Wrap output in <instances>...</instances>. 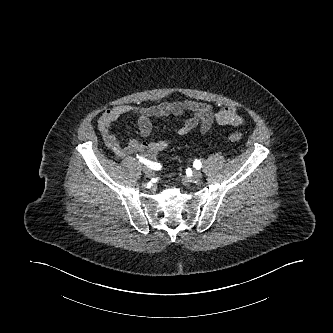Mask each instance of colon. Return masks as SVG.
Listing matches in <instances>:
<instances>
[{"label":"colon","mask_w":333,"mask_h":333,"mask_svg":"<svg viewBox=\"0 0 333 333\" xmlns=\"http://www.w3.org/2000/svg\"><path fill=\"white\" fill-rule=\"evenodd\" d=\"M228 139L232 142H239L242 139V135L238 132H231L228 135Z\"/></svg>","instance_id":"5ec220e1"}]
</instances>
